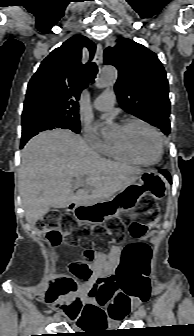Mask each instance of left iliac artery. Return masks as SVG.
Here are the masks:
<instances>
[{
    "label": "left iliac artery",
    "mask_w": 194,
    "mask_h": 336,
    "mask_svg": "<svg viewBox=\"0 0 194 336\" xmlns=\"http://www.w3.org/2000/svg\"><path fill=\"white\" fill-rule=\"evenodd\" d=\"M139 310L142 312L143 316L146 315V310H145V308H144L143 306H141V307L139 308Z\"/></svg>",
    "instance_id": "44dca946"
}]
</instances>
